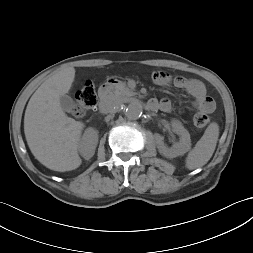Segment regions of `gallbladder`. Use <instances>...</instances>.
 Masks as SVG:
<instances>
[{
    "mask_svg": "<svg viewBox=\"0 0 253 253\" xmlns=\"http://www.w3.org/2000/svg\"><path fill=\"white\" fill-rule=\"evenodd\" d=\"M59 102H60V106H61L62 110L65 112H68V113L72 112V110L75 107V103H74L73 99L66 94L61 95L59 97Z\"/></svg>",
    "mask_w": 253,
    "mask_h": 253,
    "instance_id": "obj_1",
    "label": "gallbladder"
}]
</instances>
